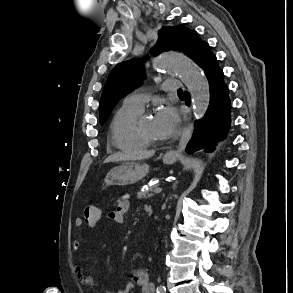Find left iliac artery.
<instances>
[{
	"instance_id": "obj_1",
	"label": "left iliac artery",
	"mask_w": 293,
	"mask_h": 293,
	"mask_svg": "<svg viewBox=\"0 0 293 293\" xmlns=\"http://www.w3.org/2000/svg\"><path fill=\"white\" fill-rule=\"evenodd\" d=\"M157 293H166L165 286H162V285L158 286L157 287Z\"/></svg>"
}]
</instances>
